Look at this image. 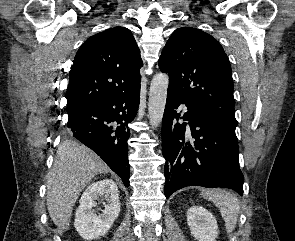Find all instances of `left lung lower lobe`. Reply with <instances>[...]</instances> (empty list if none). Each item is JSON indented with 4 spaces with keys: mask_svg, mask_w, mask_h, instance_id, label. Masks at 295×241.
<instances>
[{
    "mask_svg": "<svg viewBox=\"0 0 295 241\" xmlns=\"http://www.w3.org/2000/svg\"><path fill=\"white\" fill-rule=\"evenodd\" d=\"M185 104L180 116L176 109ZM179 119L189 121L180 124ZM235 128L189 106L168 90L162 121L165 196L186 186L231 188L243 195Z\"/></svg>",
    "mask_w": 295,
    "mask_h": 241,
    "instance_id": "left-lung-lower-lobe-1",
    "label": "left lung lower lobe"
}]
</instances>
